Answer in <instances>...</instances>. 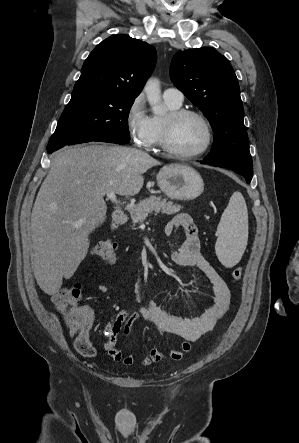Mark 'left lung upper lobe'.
I'll return each instance as SVG.
<instances>
[{"mask_svg":"<svg viewBox=\"0 0 299 443\" xmlns=\"http://www.w3.org/2000/svg\"><path fill=\"white\" fill-rule=\"evenodd\" d=\"M170 78L213 129L212 151L204 160L224 168H252L239 83L227 58L211 47L180 51L172 59Z\"/></svg>","mask_w":299,"mask_h":443,"instance_id":"1","label":"left lung upper lobe"}]
</instances>
